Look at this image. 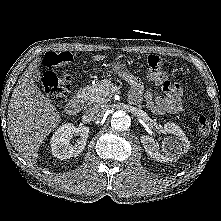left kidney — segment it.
Instances as JSON below:
<instances>
[{
    "instance_id": "obj_1",
    "label": "left kidney",
    "mask_w": 221,
    "mask_h": 221,
    "mask_svg": "<svg viewBox=\"0 0 221 221\" xmlns=\"http://www.w3.org/2000/svg\"><path fill=\"white\" fill-rule=\"evenodd\" d=\"M164 131L173 136L167 137L160 147L156 140L148 135L141 137V143L147 154L160 162L173 161L187 153L190 142L182 129L174 123H166ZM161 148V149H160Z\"/></svg>"
}]
</instances>
